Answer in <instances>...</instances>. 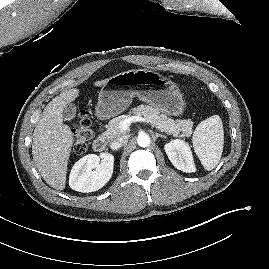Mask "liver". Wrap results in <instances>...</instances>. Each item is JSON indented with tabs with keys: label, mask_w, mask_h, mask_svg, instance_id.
I'll use <instances>...</instances> for the list:
<instances>
[{
	"label": "liver",
	"mask_w": 269,
	"mask_h": 269,
	"mask_svg": "<svg viewBox=\"0 0 269 269\" xmlns=\"http://www.w3.org/2000/svg\"><path fill=\"white\" fill-rule=\"evenodd\" d=\"M107 79L94 85H105ZM79 96V89H69L53 98L44 108L33 133L32 156L46 183L63 190L66 185L67 165L74 137L70 128L63 124L62 113L67 104Z\"/></svg>",
	"instance_id": "obj_1"
}]
</instances>
